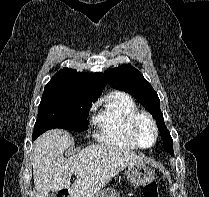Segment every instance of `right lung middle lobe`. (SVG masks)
Listing matches in <instances>:
<instances>
[{"instance_id": "right-lung-middle-lobe-1", "label": "right lung middle lobe", "mask_w": 209, "mask_h": 197, "mask_svg": "<svg viewBox=\"0 0 209 197\" xmlns=\"http://www.w3.org/2000/svg\"><path fill=\"white\" fill-rule=\"evenodd\" d=\"M96 99L79 87L46 85L38 107L33 139L52 128L87 130V115Z\"/></svg>"}]
</instances>
